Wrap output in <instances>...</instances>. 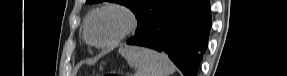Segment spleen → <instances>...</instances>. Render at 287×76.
Returning a JSON list of instances; mask_svg holds the SVG:
<instances>
[{
  "instance_id": "spleen-1",
  "label": "spleen",
  "mask_w": 287,
  "mask_h": 76,
  "mask_svg": "<svg viewBox=\"0 0 287 76\" xmlns=\"http://www.w3.org/2000/svg\"><path fill=\"white\" fill-rule=\"evenodd\" d=\"M119 53L129 66L136 70L134 76H169L175 71L170 59L161 53L138 46H124Z\"/></svg>"
}]
</instances>
